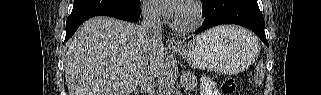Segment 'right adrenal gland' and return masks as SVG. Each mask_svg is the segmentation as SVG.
<instances>
[{"label":"right adrenal gland","instance_id":"right-adrenal-gland-1","mask_svg":"<svg viewBox=\"0 0 321 95\" xmlns=\"http://www.w3.org/2000/svg\"><path fill=\"white\" fill-rule=\"evenodd\" d=\"M142 92V90H136L135 91V94H139V93H141Z\"/></svg>","mask_w":321,"mask_h":95}]
</instances>
